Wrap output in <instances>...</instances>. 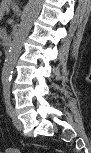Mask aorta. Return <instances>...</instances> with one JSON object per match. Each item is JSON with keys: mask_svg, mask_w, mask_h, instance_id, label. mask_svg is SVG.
Segmentation results:
<instances>
[{"mask_svg": "<svg viewBox=\"0 0 91 153\" xmlns=\"http://www.w3.org/2000/svg\"><path fill=\"white\" fill-rule=\"evenodd\" d=\"M43 0H29L24 9L21 23L13 38L10 50L6 56L2 69L1 81L4 86H9L13 69L20 55L23 43L42 8Z\"/></svg>", "mask_w": 91, "mask_h": 153, "instance_id": "762f6f07", "label": "aorta"}]
</instances>
